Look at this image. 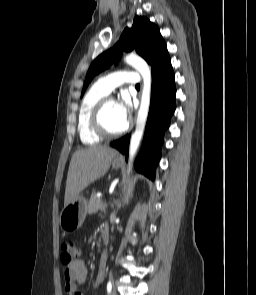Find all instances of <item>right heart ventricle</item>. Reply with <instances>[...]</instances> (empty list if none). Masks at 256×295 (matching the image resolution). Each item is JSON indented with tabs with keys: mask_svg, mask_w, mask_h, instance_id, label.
<instances>
[{
	"mask_svg": "<svg viewBox=\"0 0 256 295\" xmlns=\"http://www.w3.org/2000/svg\"><path fill=\"white\" fill-rule=\"evenodd\" d=\"M106 95L97 85H94L88 90L81 101L78 114V132L81 141L86 145L97 144L102 139L92 130L90 118L95 105Z\"/></svg>",
	"mask_w": 256,
	"mask_h": 295,
	"instance_id": "right-heart-ventricle-1",
	"label": "right heart ventricle"
}]
</instances>
